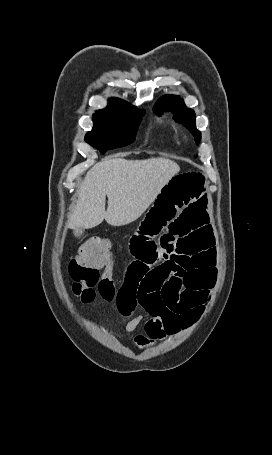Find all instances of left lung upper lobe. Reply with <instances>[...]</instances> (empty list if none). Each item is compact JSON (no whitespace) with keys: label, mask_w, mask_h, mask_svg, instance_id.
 I'll return each mask as SVG.
<instances>
[{"label":"left lung upper lobe","mask_w":272,"mask_h":455,"mask_svg":"<svg viewBox=\"0 0 272 455\" xmlns=\"http://www.w3.org/2000/svg\"><path fill=\"white\" fill-rule=\"evenodd\" d=\"M153 111L156 114L171 112L176 122L183 124L195 137V142L199 144L201 133L195 126V113L192 109L187 108L182 99L178 96L167 95L159 99L155 104Z\"/></svg>","instance_id":"left-lung-upper-lobe-1"}]
</instances>
